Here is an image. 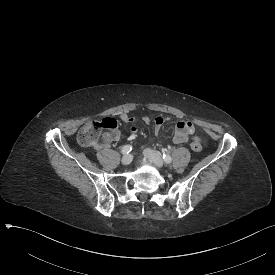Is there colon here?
<instances>
[{"label":"colon","mask_w":275,"mask_h":275,"mask_svg":"<svg viewBox=\"0 0 275 275\" xmlns=\"http://www.w3.org/2000/svg\"><path fill=\"white\" fill-rule=\"evenodd\" d=\"M120 137V130L117 122L113 118L103 120L88 121L80 129L77 135L78 144L82 147H97L101 143L110 144ZM193 151L199 152L203 148L200 141L191 143Z\"/></svg>","instance_id":"colon-1"}]
</instances>
